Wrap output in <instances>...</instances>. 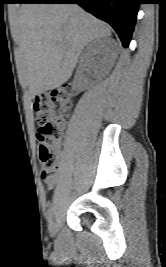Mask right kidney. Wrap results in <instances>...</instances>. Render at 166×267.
I'll return each mask as SVG.
<instances>
[{
  "instance_id": "ca27d5eb",
  "label": "right kidney",
  "mask_w": 166,
  "mask_h": 267,
  "mask_svg": "<svg viewBox=\"0 0 166 267\" xmlns=\"http://www.w3.org/2000/svg\"><path fill=\"white\" fill-rule=\"evenodd\" d=\"M102 48H103L102 42L100 40H96V41L92 42L85 50V53L83 54L82 59H81V63H82L81 70L79 71V76H78L77 82H76L77 87L79 89H81V90L85 89L89 84V82L87 80H83V77L81 76L83 67H85L90 62V60H89L90 57L95 55L96 53H99ZM96 72L99 73L100 69L97 68Z\"/></svg>"
}]
</instances>
